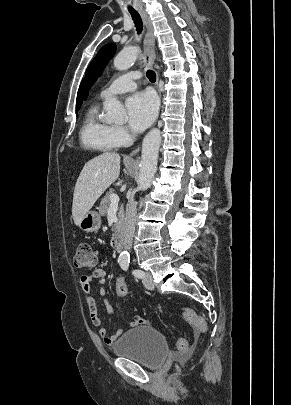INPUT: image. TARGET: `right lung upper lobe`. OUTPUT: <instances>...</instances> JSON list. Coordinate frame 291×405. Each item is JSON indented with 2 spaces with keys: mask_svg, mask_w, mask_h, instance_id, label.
Returning <instances> with one entry per match:
<instances>
[{
  "mask_svg": "<svg viewBox=\"0 0 291 405\" xmlns=\"http://www.w3.org/2000/svg\"><path fill=\"white\" fill-rule=\"evenodd\" d=\"M83 100V82L81 83L77 93V105L76 108H80Z\"/></svg>",
  "mask_w": 291,
  "mask_h": 405,
  "instance_id": "obj_1",
  "label": "right lung upper lobe"
}]
</instances>
